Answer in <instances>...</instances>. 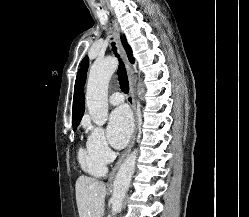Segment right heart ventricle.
<instances>
[{
  "instance_id": "right-heart-ventricle-1",
  "label": "right heart ventricle",
  "mask_w": 249,
  "mask_h": 217,
  "mask_svg": "<svg viewBox=\"0 0 249 217\" xmlns=\"http://www.w3.org/2000/svg\"><path fill=\"white\" fill-rule=\"evenodd\" d=\"M78 160L82 169L92 176L100 177L106 172V164L99 160L88 147L79 149Z\"/></svg>"
}]
</instances>
